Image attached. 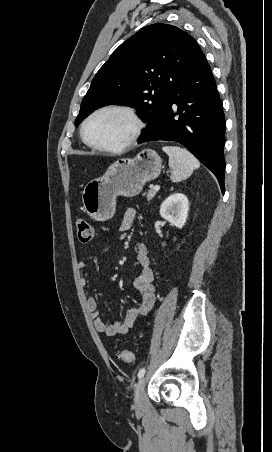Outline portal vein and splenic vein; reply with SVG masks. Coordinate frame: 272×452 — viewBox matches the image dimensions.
Segmentation results:
<instances>
[{
	"label": "portal vein and splenic vein",
	"instance_id": "portal-vein-and-splenic-vein-1",
	"mask_svg": "<svg viewBox=\"0 0 272 452\" xmlns=\"http://www.w3.org/2000/svg\"><path fill=\"white\" fill-rule=\"evenodd\" d=\"M153 189H154L155 191H158V190L160 189V186H159V185H155V186L153 187Z\"/></svg>",
	"mask_w": 272,
	"mask_h": 452
}]
</instances>
